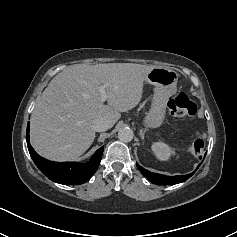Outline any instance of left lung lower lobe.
Listing matches in <instances>:
<instances>
[{"label":"left lung lower lobe","instance_id":"obj_1","mask_svg":"<svg viewBox=\"0 0 237 237\" xmlns=\"http://www.w3.org/2000/svg\"><path fill=\"white\" fill-rule=\"evenodd\" d=\"M201 158V157H200ZM137 168L141 171V173L146 176L151 182L158 184V185H173L178 184L181 182L186 181L188 178H190L193 174L188 175H179V176H165L157 173H152L144 168H142L140 165L136 164Z\"/></svg>","mask_w":237,"mask_h":237}]
</instances>
